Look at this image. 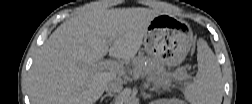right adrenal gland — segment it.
<instances>
[{"instance_id":"1","label":"right adrenal gland","mask_w":252,"mask_h":104,"mask_svg":"<svg viewBox=\"0 0 252 104\" xmlns=\"http://www.w3.org/2000/svg\"><path fill=\"white\" fill-rule=\"evenodd\" d=\"M106 97H113V94L107 93V94H105L104 96H102V98H101V100H100V104H102L103 100H104Z\"/></svg>"}]
</instances>
